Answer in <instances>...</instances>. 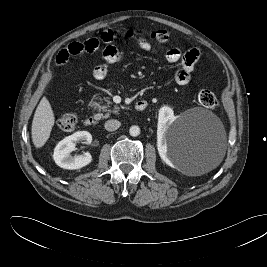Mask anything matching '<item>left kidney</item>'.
Masks as SVG:
<instances>
[{
  "label": "left kidney",
  "instance_id": "obj_1",
  "mask_svg": "<svg viewBox=\"0 0 267 267\" xmlns=\"http://www.w3.org/2000/svg\"><path fill=\"white\" fill-rule=\"evenodd\" d=\"M174 111L168 106H162L158 114V141L157 149L161 159L169 166L175 167L172 157L168 153V146L164 135L169 126L176 120Z\"/></svg>",
  "mask_w": 267,
  "mask_h": 267
}]
</instances>
